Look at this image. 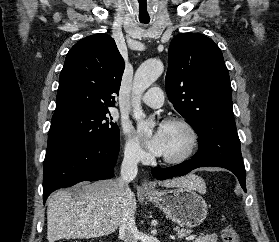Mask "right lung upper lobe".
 I'll return each instance as SVG.
<instances>
[{"instance_id": "right-lung-upper-lobe-1", "label": "right lung upper lobe", "mask_w": 279, "mask_h": 242, "mask_svg": "<svg viewBox=\"0 0 279 242\" xmlns=\"http://www.w3.org/2000/svg\"><path fill=\"white\" fill-rule=\"evenodd\" d=\"M124 68V60L111 36L95 34L81 39L66 56L54 114L114 107Z\"/></svg>"}]
</instances>
